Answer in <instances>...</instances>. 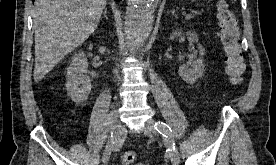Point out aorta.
Here are the masks:
<instances>
[{"mask_svg": "<svg viewBox=\"0 0 276 165\" xmlns=\"http://www.w3.org/2000/svg\"><path fill=\"white\" fill-rule=\"evenodd\" d=\"M159 0H128L125 26L132 47L144 42L153 28L155 8Z\"/></svg>", "mask_w": 276, "mask_h": 165, "instance_id": "obj_1", "label": "aorta"}]
</instances>
